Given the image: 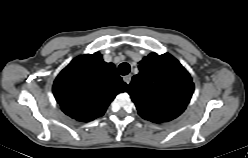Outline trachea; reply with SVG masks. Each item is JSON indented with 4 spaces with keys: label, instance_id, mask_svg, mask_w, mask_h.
Instances as JSON below:
<instances>
[{
    "label": "trachea",
    "instance_id": "3493384b",
    "mask_svg": "<svg viewBox=\"0 0 248 158\" xmlns=\"http://www.w3.org/2000/svg\"><path fill=\"white\" fill-rule=\"evenodd\" d=\"M118 72L120 75H127L130 72V65L128 63H122L118 67Z\"/></svg>",
    "mask_w": 248,
    "mask_h": 158
}]
</instances>
